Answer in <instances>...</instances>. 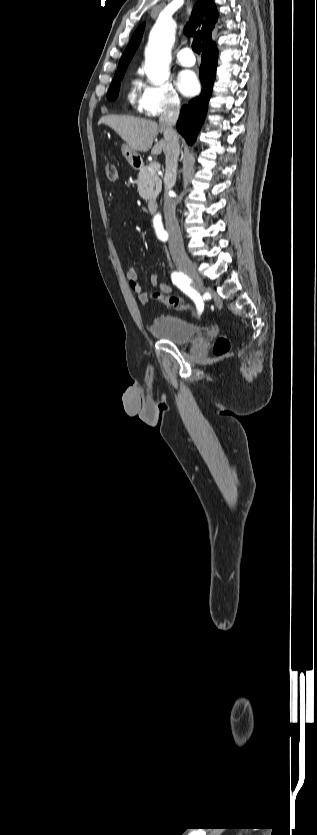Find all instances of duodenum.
Masks as SVG:
<instances>
[{"instance_id":"obj_1","label":"duodenum","mask_w":317,"mask_h":835,"mask_svg":"<svg viewBox=\"0 0 317 835\" xmlns=\"http://www.w3.org/2000/svg\"><path fill=\"white\" fill-rule=\"evenodd\" d=\"M147 208L150 212H155L158 208V201L156 199H150L147 203Z\"/></svg>"}]
</instances>
